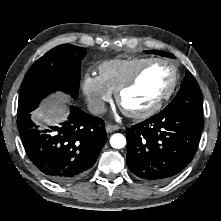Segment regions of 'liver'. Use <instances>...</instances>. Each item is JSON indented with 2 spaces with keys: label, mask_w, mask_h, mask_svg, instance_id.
I'll return each mask as SVG.
<instances>
[{
  "label": "liver",
  "mask_w": 221,
  "mask_h": 221,
  "mask_svg": "<svg viewBox=\"0 0 221 221\" xmlns=\"http://www.w3.org/2000/svg\"><path fill=\"white\" fill-rule=\"evenodd\" d=\"M67 112L68 110L63 104L62 98L49 99L33 113V116L37 122L55 124L59 119L66 117Z\"/></svg>",
  "instance_id": "liver-1"
}]
</instances>
